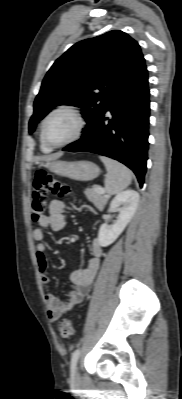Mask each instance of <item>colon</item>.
Instances as JSON below:
<instances>
[{
  "instance_id": "colon-1",
  "label": "colon",
  "mask_w": 182,
  "mask_h": 399,
  "mask_svg": "<svg viewBox=\"0 0 182 399\" xmlns=\"http://www.w3.org/2000/svg\"><path fill=\"white\" fill-rule=\"evenodd\" d=\"M49 192L59 198L73 197L66 182L46 171L36 172L31 192L32 216L35 221L45 215ZM58 332L62 338H71L73 336L72 322L69 319H61L58 323Z\"/></svg>"
}]
</instances>
